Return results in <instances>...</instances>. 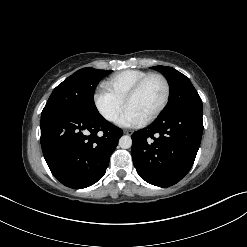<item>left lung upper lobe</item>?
<instances>
[{
	"label": "left lung upper lobe",
	"mask_w": 247,
	"mask_h": 247,
	"mask_svg": "<svg viewBox=\"0 0 247 247\" xmlns=\"http://www.w3.org/2000/svg\"><path fill=\"white\" fill-rule=\"evenodd\" d=\"M170 85L169 103L162 115L187 107H202V100L190 80L179 71L167 66H154Z\"/></svg>",
	"instance_id": "5c2ea615"
}]
</instances>
